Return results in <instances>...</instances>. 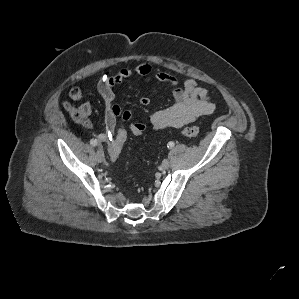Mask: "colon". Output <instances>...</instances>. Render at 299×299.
I'll return each mask as SVG.
<instances>
[{
	"mask_svg": "<svg viewBox=\"0 0 299 299\" xmlns=\"http://www.w3.org/2000/svg\"><path fill=\"white\" fill-rule=\"evenodd\" d=\"M64 108L70 115V117L77 123L82 125L89 124V111L84 106H73L66 102ZM144 127L137 122L128 123L123 126L116 127L111 140L108 145V158L110 162H114L121 154L128 138L130 136H140L144 132ZM182 135L188 138H195L199 135V128L196 126H185L182 131Z\"/></svg>",
	"mask_w": 299,
	"mask_h": 299,
	"instance_id": "colon-1",
	"label": "colon"
}]
</instances>
